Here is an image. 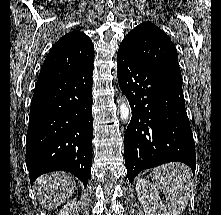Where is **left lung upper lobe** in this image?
I'll list each match as a JSON object with an SVG mask.
<instances>
[{
  "instance_id": "1",
  "label": "left lung upper lobe",
  "mask_w": 221,
  "mask_h": 215,
  "mask_svg": "<svg viewBox=\"0 0 221 215\" xmlns=\"http://www.w3.org/2000/svg\"><path fill=\"white\" fill-rule=\"evenodd\" d=\"M119 48L144 66L173 82L182 84L174 44L156 25L150 22L139 24L125 36Z\"/></svg>"
}]
</instances>
